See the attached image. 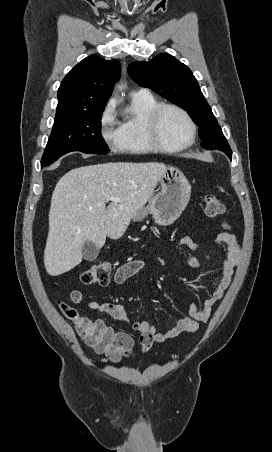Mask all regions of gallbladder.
Returning <instances> with one entry per match:
<instances>
[{"label":"gallbladder","mask_w":272,"mask_h":452,"mask_svg":"<svg viewBox=\"0 0 272 452\" xmlns=\"http://www.w3.org/2000/svg\"><path fill=\"white\" fill-rule=\"evenodd\" d=\"M99 248L91 241H85L82 245V254L84 259L91 261L99 254Z\"/></svg>","instance_id":"bac80fb5"}]
</instances>
